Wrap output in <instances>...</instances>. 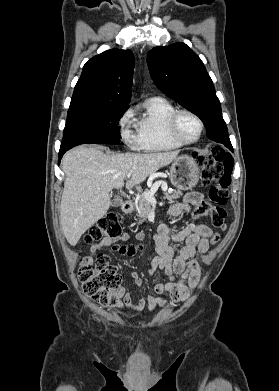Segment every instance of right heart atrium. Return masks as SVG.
Returning a JSON list of instances; mask_svg holds the SVG:
<instances>
[{"label":"right heart atrium","mask_w":279,"mask_h":391,"mask_svg":"<svg viewBox=\"0 0 279 391\" xmlns=\"http://www.w3.org/2000/svg\"><path fill=\"white\" fill-rule=\"evenodd\" d=\"M118 129L123 142L129 148H138L137 121L134 117V110L131 107L125 109L120 115Z\"/></svg>","instance_id":"1"}]
</instances>
